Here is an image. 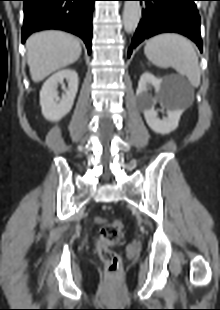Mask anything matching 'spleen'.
I'll use <instances>...</instances> for the list:
<instances>
[{"mask_svg":"<svg viewBox=\"0 0 220 310\" xmlns=\"http://www.w3.org/2000/svg\"><path fill=\"white\" fill-rule=\"evenodd\" d=\"M147 59L160 68H174L185 75L193 87L200 84V70L195 49L187 38L164 33L152 37L144 48Z\"/></svg>","mask_w":220,"mask_h":310,"instance_id":"spleen-1","label":"spleen"}]
</instances>
